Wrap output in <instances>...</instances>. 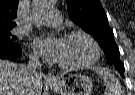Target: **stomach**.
Returning <instances> with one entry per match:
<instances>
[{"mask_svg":"<svg viewBox=\"0 0 135 95\" xmlns=\"http://www.w3.org/2000/svg\"><path fill=\"white\" fill-rule=\"evenodd\" d=\"M49 86L59 95H90L93 82L88 76L75 73L61 77L57 83H50Z\"/></svg>","mask_w":135,"mask_h":95,"instance_id":"1","label":"stomach"}]
</instances>
